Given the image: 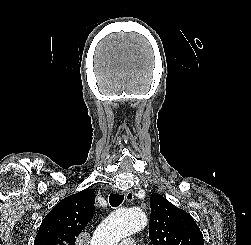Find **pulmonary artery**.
Instances as JSON below:
<instances>
[{
  "mask_svg": "<svg viewBox=\"0 0 251 245\" xmlns=\"http://www.w3.org/2000/svg\"><path fill=\"white\" fill-rule=\"evenodd\" d=\"M120 245H136L135 242L131 239H125L123 240Z\"/></svg>",
  "mask_w": 251,
  "mask_h": 245,
  "instance_id": "obj_1",
  "label": "pulmonary artery"
}]
</instances>
